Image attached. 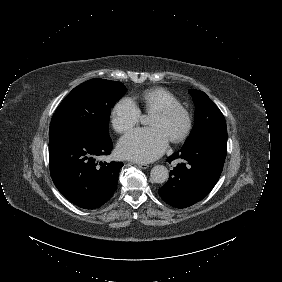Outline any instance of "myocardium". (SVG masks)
<instances>
[{
  "mask_svg": "<svg viewBox=\"0 0 282 282\" xmlns=\"http://www.w3.org/2000/svg\"><path fill=\"white\" fill-rule=\"evenodd\" d=\"M152 114H156L165 118L174 116H179L181 118V128L169 138L171 142H181L189 135L192 127V120L190 114L184 107L180 105H164L153 111Z\"/></svg>",
  "mask_w": 282,
  "mask_h": 282,
  "instance_id": "obj_1",
  "label": "myocardium"
}]
</instances>
